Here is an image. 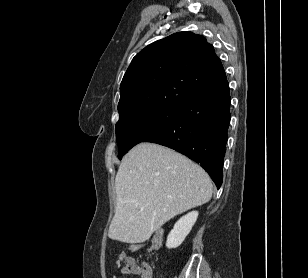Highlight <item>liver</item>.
Masks as SVG:
<instances>
[{
  "instance_id": "1",
  "label": "liver",
  "mask_w": 308,
  "mask_h": 278,
  "mask_svg": "<svg viewBox=\"0 0 308 278\" xmlns=\"http://www.w3.org/2000/svg\"><path fill=\"white\" fill-rule=\"evenodd\" d=\"M117 205L108 237L141 243L174 216L207 203L209 175L184 155L139 143L122 159L115 178Z\"/></svg>"
}]
</instances>
